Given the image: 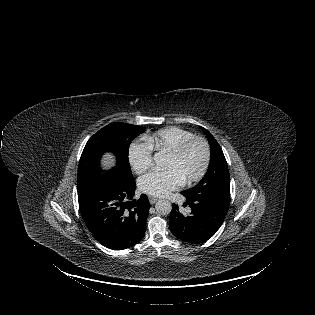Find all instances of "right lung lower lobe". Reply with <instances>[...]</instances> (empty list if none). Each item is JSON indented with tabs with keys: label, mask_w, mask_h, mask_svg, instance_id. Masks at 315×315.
I'll return each mask as SVG.
<instances>
[{
	"label": "right lung lower lobe",
	"mask_w": 315,
	"mask_h": 315,
	"mask_svg": "<svg viewBox=\"0 0 315 315\" xmlns=\"http://www.w3.org/2000/svg\"><path fill=\"white\" fill-rule=\"evenodd\" d=\"M77 192L82 218L103 246L122 250L144 237L150 204L146 195L133 200L135 180L90 177L77 182Z\"/></svg>",
	"instance_id": "1"
}]
</instances>
